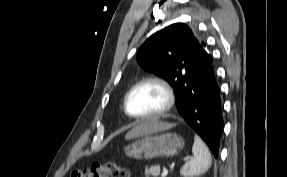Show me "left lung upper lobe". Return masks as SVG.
<instances>
[{"label":"left lung upper lobe","mask_w":287,"mask_h":177,"mask_svg":"<svg viewBox=\"0 0 287 177\" xmlns=\"http://www.w3.org/2000/svg\"><path fill=\"white\" fill-rule=\"evenodd\" d=\"M211 57L205 43L183 23L154 33L137 52V61L145 70L162 77L174 88L176 104Z\"/></svg>","instance_id":"left-lung-upper-lobe-1"}]
</instances>
